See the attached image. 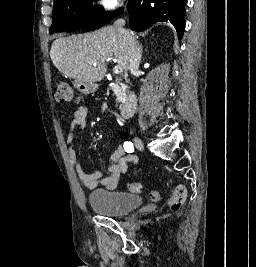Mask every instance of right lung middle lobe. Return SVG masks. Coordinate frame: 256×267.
<instances>
[{"label":"right lung middle lobe","mask_w":256,"mask_h":267,"mask_svg":"<svg viewBox=\"0 0 256 267\" xmlns=\"http://www.w3.org/2000/svg\"><path fill=\"white\" fill-rule=\"evenodd\" d=\"M97 0H57L54 2L50 33L76 29H97L114 17L122 14L123 8L106 12L99 5L92 6Z\"/></svg>","instance_id":"dd1d6c3e"}]
</instances>
